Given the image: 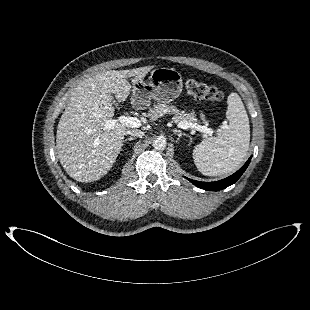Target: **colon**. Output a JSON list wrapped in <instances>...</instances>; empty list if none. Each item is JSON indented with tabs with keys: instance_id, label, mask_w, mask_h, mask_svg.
<instances>
[{
	"instance_id": "colon-1",
	"label": "colon",
	"mask_w": 310,
	"mask_h": 310,
	"mask_svg": "<svg viewBox=\"0 0 310 310\" xmlns=\"http://www.w3.org/2000/svg\"><path fill=\"white\" fill-rule=\"evenodd\" d=\"M186 92L199 99L211 102H219L223 99V92L214 86L198 82L194 79H189L185 84Z\"/></svg>"
}]
</instances>
